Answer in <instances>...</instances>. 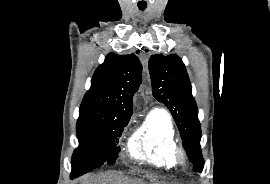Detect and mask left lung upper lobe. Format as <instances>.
I'll return each instance as SVG.
<instances>
[{
    "mask_svg": "<svg viewBox=\"0 0 270 184\" xmlns=\"http://www.w3.org/2000/svg\"><path fill=\"white\" fill-rule=\"evenodd\" d=\"M148 66L153 96L171 111L180 131L183 147L194 164L193 169L201 173L204 166L200 148L201 128L186 68L175 54L153 55Z\"/></svg>",
    "mask_w": 270,
    "mask_h": 184,
    "instance_id": "obj_1",
    "label": "left lung upper lobe"
}]
</instances>
